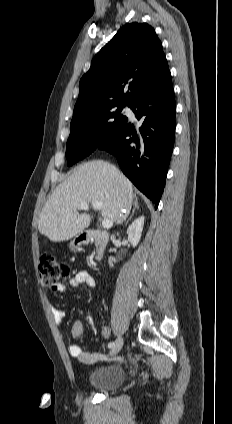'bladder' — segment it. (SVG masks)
Masks as SVG:
<instances>
[{"instance_id":"1","label":"bladder","mask_w":232,"mask_h":424,"mask_svg":"<svg viewBox=\"0 0 232 424\" xmlns=\"http://www.w3.org/2000/svg\"><path fill=\"white\" fill-rule=\"evenodd\" d=\"M126 375V370L120 365H105L92 373L89 385L99 391H112L122 385Z\"/></svg>"}]
</instances>
